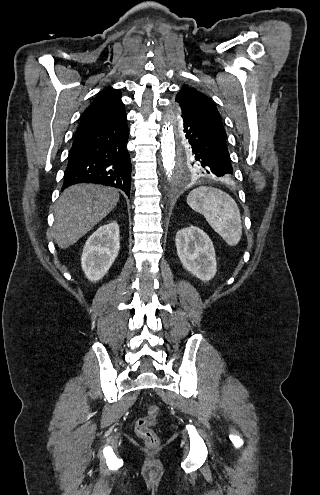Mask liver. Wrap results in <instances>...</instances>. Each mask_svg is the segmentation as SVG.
I'll use <instances>...</instances> for the list:
<instances>
[{
	"label": "liver",
	"instance_id": "1",
	"mask_svg": "<svg viewBox=\"0 0 320 495\" xmlns=\"http://www.w3.org/2000/svg\"><path fill=\"white\" fill-rule=\"evenodd\" d=\"M119 201L116 189L76 184L63 191L55 209L53 236L60 248L76 243L99 223Z\"/></svg>",
	"mask_w": 320,
	"mask_h": 495
}]
</instances>
